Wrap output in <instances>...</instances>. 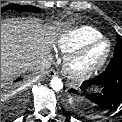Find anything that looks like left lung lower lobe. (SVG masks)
Instances as JSON below:
<instances>
[{"label": "left lung lower lobe", "instance_id": "0a47b994", "mask_svg": "<svg viewBox=\"0 0 122 122\" xmlns=\"http://www.w3.org/2000/svg\"><path fill=\"white\" fill-rule=\"evenodd\" d=\"M101 86L99 93H88L87 98L96 106L94 112H105L117 108L122 102V56H115L108 64L106 70L83 82L81 91L87 93V89L92 86ZM72 94H77L76 90H71Z\"/></svg>", "mask_w": 122, "mask_h": 122}]
</instances>
